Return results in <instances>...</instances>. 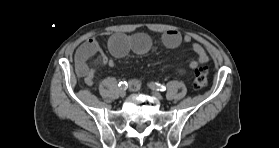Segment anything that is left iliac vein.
Returning <instances> with one entry per match:
<instances>
[{
	"label": "left iliac vein",
	"mask_w": 279,
	"mask_h": 148,
	"mask_svg": "<svg viewBox=\"0 0 279 148\" xmlns=\"http://www.w3.org/2000/svg\"><path fill=\"white\" fill-rule=\"evenodd\" d=\"M152 95L159 100H161L163 98L162 95L157 91H153Z\"/></svg>",
	"instance_id": "1"
}]
</instances>
